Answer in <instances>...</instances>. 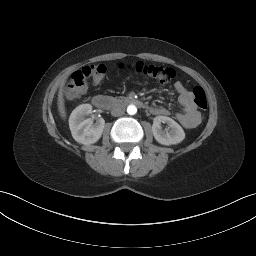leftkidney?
<instances>
[{
    "label": "left kidney",
    "instance_id": "left-kidney-1",
    "mask_svg": "<svg viewBox=\"0 0 256 256\" xmlns=\"http://www.w3.org/2000/svg\"><path fill=\"white\" fill-rule=\"evenodd\" d=\"M161 123H166L170 130H162ZM152 133L157 142L167 146L178 144L185 138L182 127L172 118L166 116H157L154 118Z\"/></svg>",
    "mask_w": 256,
    "mask_h": 256
}]
</instances>
